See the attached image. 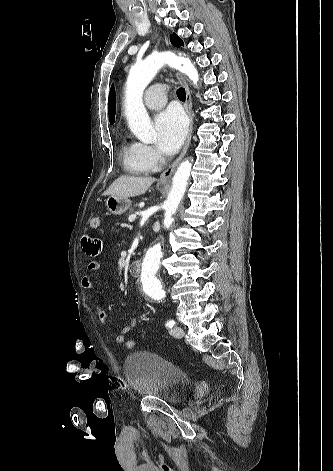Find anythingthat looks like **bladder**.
I'll list each match as a JSON object with an SVG mask.
<instances>
[{"label":"bladder","instance_id":"31cf9c89","mask_svg":"<svg viewBox=\"0 0 333 471\" xmlns=\"http://www.w3.org/2000/svg\"><path fill=\"white\" fill-rule=\"evenodd\" d=\"M124 374L136 394L169 404L181 403L193 388V381L187 372L152 352L139 351L128 355Z\"/></svg>","mask_w":333,"mask_h":471}]
</instances>
